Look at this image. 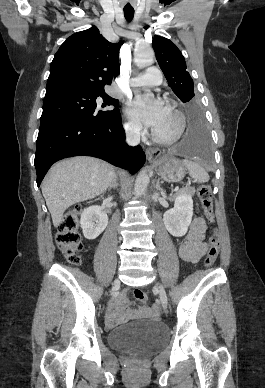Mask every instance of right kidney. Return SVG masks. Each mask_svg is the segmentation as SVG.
<instances>
[{
	"instance_id": "obj_1",
	"label": "right kidney",
	"mask_w": 265,
	"mask_h": 388,
	"mask_svg": "<svg viewBox=\"0 0 265 388\" xmlns=\"http://www.w3.org/2000/svg\"><path fill=\"white\" fill-rule=\"evenodd\" d=\"M80 224L84 238L86 240H95L104 232L108 224V216L105 212H102L100 206H89V208L83 210Z\"/></svg>"
}]
</instances>
